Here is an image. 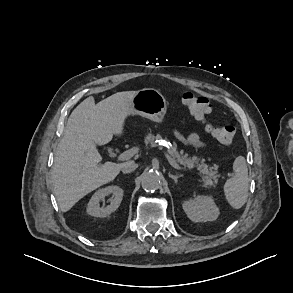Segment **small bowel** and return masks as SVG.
I'll return each mask as SVG.
<instances>
[{
  "mask_svg": "<svg viewBox=\"0 0 293 293\" xmlns=\"http://www.w3.org/2000/svg\"><path fill=\"white\" fill-rule=\"evenodd\" d=\"M176 136L181 142H183L186 145H190L193 147H203L205 145L198 133L183 135L180 132H176Z\"/></svg>",
  "mask_w": 293,
  "mask_h": 293,
  "instance_id": "obj_1",
  "label": "small bowel"
}]
</instances>
